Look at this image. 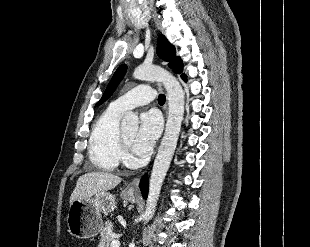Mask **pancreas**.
<instances>
[{
  "mask_svg": "<svg viewBox=\"0 0 310 247\" xmlns=\"http://www.w3.org/2000/svg\"><path fill=\"white\" fill-rule=\"evenodd\" d=\"M114 237H116V235L113 232V223L107 220L105 222V227L102 229L101 239L98 247H111V243L114 240Z\"/></svg>",
  "mask_w": 310,
  "mask_h": 247,
  "instance_id": "1",
  "label": "pancreas"
}]
</instances>
